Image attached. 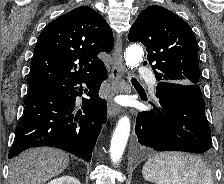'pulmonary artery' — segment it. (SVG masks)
Returning a JSON list of instances; mask_svg holds the SVG:
<instances>
[{
  "mask_svg": "<svg viewBox=\"0 0 224 184\" xmlns=\"http://www.w3.org/2000/svg\"><path fill=\"white\" fill-rule=\"evenodd\" d=\"M137 74L141 77H151L152 76L151 71L146 67H140L137 71ZM151 80L152 81L150 83V88L154 89L156 86V80L153 77H151Z\"/></svg>",
  "mask_w": 224,
  "mask_h": 184,
  "instance_id": "pulmonary-artery-1",
  "label": "pulmonary artery"
}]
</instances>
